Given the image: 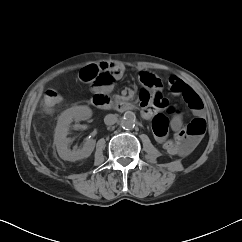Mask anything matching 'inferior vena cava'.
I'll use <instances>...</instances> for the list:
<instances>
[{
	"mask_svg": "<svg viewBox=\"0 0 242 242\" xmlns=\"http://www.w3.org/2000/svg\"><path fill=\"white\" fill-rule=\"evenodd\" d=\"M117 115L116 114H108L104 118V123L106 125H113L117 122Z\"/></svg>",
	"mask_w": 242,
	"mask_h": 242,
	"instance_id": "inferior-vena-cava-1",
	"label": "inferior vena cava"
}]
</instances>
